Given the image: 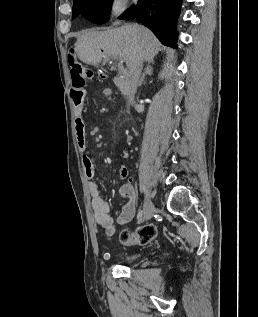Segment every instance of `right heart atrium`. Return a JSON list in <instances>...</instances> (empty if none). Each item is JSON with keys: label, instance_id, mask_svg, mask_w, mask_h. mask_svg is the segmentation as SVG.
<instances>
[{"label": "right heart atrium", "instance_id": "d8ad5b80", "mask_svg": "<svg viewBox=\"0 0 258 317\" xmlns=\"http://www.w3.org/2000/svg\"><path fill=\"white\" fill-rule=\"evenodd\" d=\"M129 8L128 0H112L109 3V13L112 18L122 16Z\"/></svg>", "mask_w": 258, "mask_h": 317}]
</instances>
